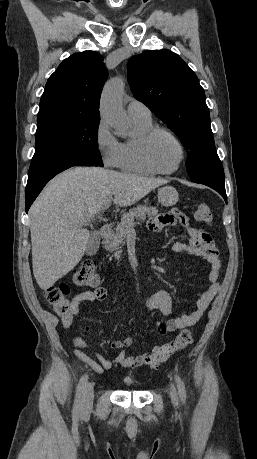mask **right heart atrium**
<instances>
[{
  "instance_id": "right-heart-atrium-1",
  "label": "right heart atrium",
  "mask_w": 257,
  "mask_h": 459,
  "mask_svg": "<svg viewBox=\"0 0 257 459\" xmlns=\"http://www.w3.org/2000/svg\"><path fill=\"white\" fill-rule=\"evenodd\" d=\"M95 143L103 163L109 167H116L121 143L112 134L107 122L103 119L97 125Z\"/></svg>"
}]
</instances>
